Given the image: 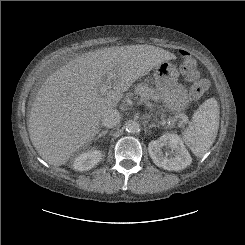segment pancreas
Returning a JSON list of instances; mask_svg holds the SVG:
<instances>
[{"instance_id":"1","label":"pancreas","mask_w":245,"mask_h":245,"mask_svg":"<svg viewBox=\"0 0 245 245\" xmlns=\"http://www.w3.org/2000/svg\"><path fill=\"white\" fill-rule=\"evenodd\" d=\"M135 93L140 95L145 100L152 99L157 96L156 91L153 88L148 87L147 84L143 83L138 84L135 87Z\"/></svg>"}]
</instances>
